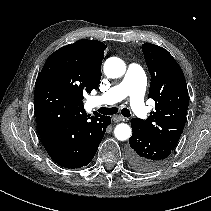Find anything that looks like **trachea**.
Masks as SVG:
<instances>
[{
  "mask_svg": "<svg viewBox=\"0 0 211 211\" xmlns=\"http://www.w3.org/2000/svg\"><path fill=\"white\" fill-rule=\"evenodd\" d=\"M98 111H99V113H101L103 115H113V114H116L118 112V108H116V107H112V108L101 107V108H99ZM121 114L124 117H130L131 116L129 109H127V108H123L121 110Z\"/></svg>",
  "mask_w": 211,
  "mask_h": 211,
  "instance_id": "3493384b",
  "label": "trachea"
}]
</instances>
